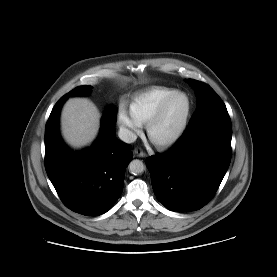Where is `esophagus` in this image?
<instances>
[{"label":"esophagus","instance_id":"1","mask_svg":"<svg viewBox=\"0 0 277 277\" xmlns=\"http://www.w3.org/2000/svg\"><path fill=\"white\" fill-rule=\"evenodd\" d=\"M134 155L136 157H145L146 156V153L143 152V150L141 148H135L134 149Z\"/></svg>","mask_w":277,"mask_h":277}]
</instances>
